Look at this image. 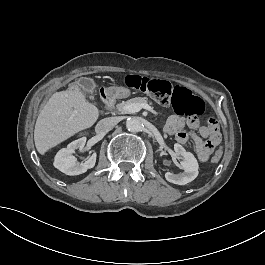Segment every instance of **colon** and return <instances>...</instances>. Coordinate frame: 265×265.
<instances>
[{
  "mask_svg": "<svg viewBox=\"0 0 265 265\" xmlns=\"http://www.w3.org/2000/svg\"><path fill=\"white\" fill-rule=\"evenodd\" d=\"M123 80L127 87L151 96L162 105H170L179 116H198L206 110L203 100L187 87L136 74L127 75ZM221 156L222 151L218 149L212 155L211 161L217 163Z\"/></svg>",
  "mask_w": 265,
  "mask_h": 265,
  "instance_id": "1",
  "label": "colon"
}]
</instances>
